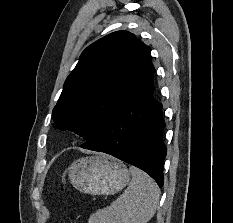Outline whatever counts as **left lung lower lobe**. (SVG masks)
Masks as SVG:
<instances>
[{
  "label": "left lung lower lobe",
  "mask_w": 233,
  "mask_h": 223,
  "mask_svg": "<svg viewBox=\"0 0 233 223\" xmlns=\"http://www.w3.org/2000/svg\"><path fill=\"white\" fill-rule=\"evenodd\" d=\"M151 70L139 88L88 143L81 147L108 153L148 173L163 186L166 147L162 105L153 97Z\"/></svg>",
  "instance_id": "1"
}]
</instances>
